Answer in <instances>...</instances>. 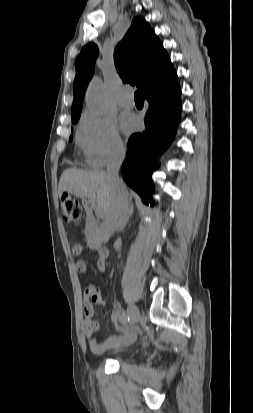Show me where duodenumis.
I'll list each match as a JSON object with an SVG mask.
<instances>
[{
  "label": "duodenum",
  "mask_w": 253,
  "mask_h": 413,
  "mask_svg": "<svg viewBox=\"0 0 253 413\" xmlns=\"http://www.w3.org/2000/svg\"><path fill=\"white\" fill-rule=\"evenodd\" d=\"M84 207H85L87 214L90 217V222H89V225L86 231L87 237L89 241L91 242V244L97 249L99 253L106 254L108 250L101 245L100 230H99L97 223L93 219L94 205L89 201H85Z\"/></svg>",
  "instance_id": "1"
}]
</instances>
